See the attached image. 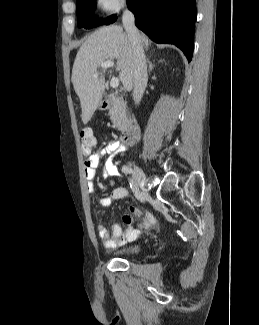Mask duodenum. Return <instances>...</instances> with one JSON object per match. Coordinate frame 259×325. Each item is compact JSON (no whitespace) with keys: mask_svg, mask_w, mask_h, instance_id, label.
<instances>
[{"mask_svg":"<svg viewBox=\"0 0 259 325\" xmlns=\"http://www.w3.org/2000/svg\"><path fill=\"white\" fill-rule=\"evenodd\" d=\"M110 105V100L108 98H105L101 103V108L103 110H106L110 107ZM137 134V127L134 124L128 125L121 136V144L124 146L129 145L136 138Z\"/></svg>","mask_w":259,"mask_h":325,"instance_id":"obj_1","label":"duodenum"}]
</instances>
